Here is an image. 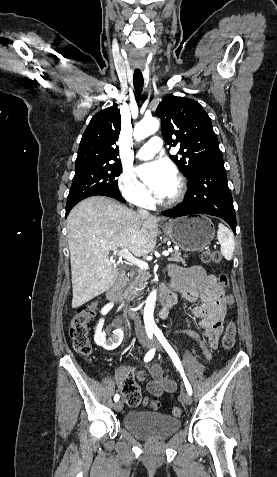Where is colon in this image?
Wrapping results in <instances>:
<instances>
[{"mask_svg":"<svg viewBox=\"0 0 277 477\" xmlns=\"http://www.w3.org/2000/svg\"><path fill=\"white\" fill-rule=\"evenodd\" d=\"M201 260L206 264H213L215 266H221L223 264L222 256L217 251L206 250L201 254ZM218 281L221 285L227 287L229 283L228 276L226 274H220ZM225 300L226 310L232 311L236 302L234 292L229 291L226 294ZM97 301L82 305L78 308L76 316L72 320L70 336L73 342L74 350L84 356L89 357L92 353V346L88 336V323L95 317ZM236 328L233 322H229L226 331L224 333L222 344L226 349H231L235 343ZM121 391L126 399V402L130 406H137L142 402L140 389L138 385L132 380H126L122 386ZM150 406L154 410H158L161 407V403L157 400L150 401ZM174 416H180L182 410L179 407L172 409Z\"/></svg>","mask_w":277,"mask_h":477,"instance_id":"5ec220e1","label":"colon"}]
</instances>
